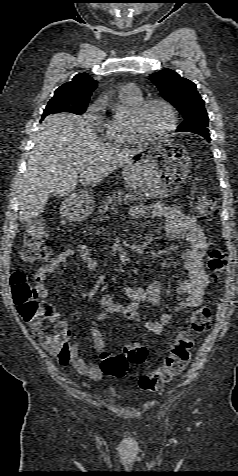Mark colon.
Segmentation results:
<instances>
[{
	"mask_svg": "<svg viewBox=\"0 0 238 476\" xmlns=\"http://www.w3.org/2000/svg\"><path fill=\"white\" fill-rule=\"evenodd\" d=\"M191 204L201 219H207L216 212V204L205 190L196 188L192 191ZM47 232L40 220L32 221L22 249V258L32 262L47 259L50 249L46 244ZM227 253L219 247H211L207 255V267L214 279L225 270ZM11 291L19 314L27 322L40 343L55 355L63 356L68 349L70 328L59 322L53 307L39 300L35 286L23 272H15L11 277ZM50 324H53L52 326ZM211 327V311L206 306L197 307L189 318L190 330L180 332L171 344L163 362L153 371L142 375L138 385L146 391H156L179 377L186 369L194 345L191 332L203 333ZM147 348L136 341H128L123 346L122 354L101 353L103 373L113 377H123L128 364H141L146 360Z\"/></svg>",
	"mask_w": 238,
	"mask_h": 476,
	"instance_id": "colon-1",
	"label": "colon"
}]
</instances>
